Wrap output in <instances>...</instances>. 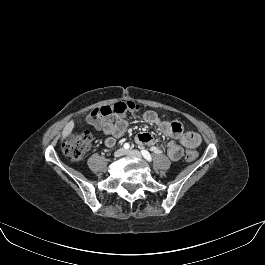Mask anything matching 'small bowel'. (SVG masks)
Here are the masks:
<instances>
[{
  "label": "small bowel",
  "mask_w": 265,
  "mask_h": 265,
  "mask_svg": "<svg viewBox=\"0 0 265 265\" xmlns=\"http://www.w3.org/2000/svg\"><path fill=\"white\" fill-rule=\"evenodd\" d=\"M142 120L150 125L158 127L159 131L170 140L166 145V151L170 159L177 161L182 157L184 148H195L201 143L199 134L184 131L181 122L165 121L153 110L145 111ZM129 120L126 117L108 119L96 128L105 135L104 143L107 147H113L128 128ZM138 145H151L154 143L153 135L149 132H141L135 137ZM159 148V147H157Z\"/></svg>",
  "instance_id": "1"
}]
</instances>
